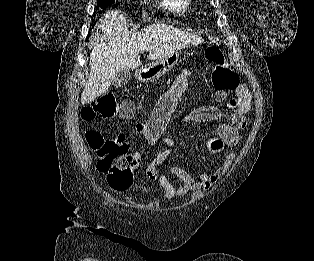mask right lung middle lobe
<instances>
[{"instance_id": "right-lung-middle-lobe-1", "label": "right lung middle lobe", "mask_w": 314, "mask_h": 261, "mask_svg": "<svg viewBox=\"0 0 314 261\" xmlns=\"http://www.w3.org/2000/svg\"><path fill=\"white\" fill-rule=\"evenodd\" d=\"M115 0H97V4L100 5L101 8H106L110 6Z\"/></svg>"}]
</instances>
